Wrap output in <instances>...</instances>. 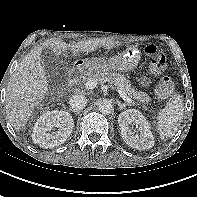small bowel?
I'll return each instance as SVG.
<instances>
[{
	"label": "small bowel",
	"instance_id": "1",
	"mask_svg": "<svg viewBox=\"0 0 197 197\" xmlns=\"http://www.w3.org/2000/svg\"><path fill=\"white\" fill-rule=\"evenodd\" d=\"M141 83L145 85V84H147V80L146 79H142Z\"/></svg>",
	"mask_w": 197,
	"mask_h": 197
}]
</instances>
